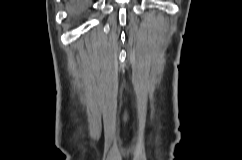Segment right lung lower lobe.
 <instances>
[{"label": "right lung lower lobe", "instance_id": "right-lung-lower-lobe-1", "mask_svg": "<svg viewBox=\"0 0 242 160\" xmlns=\"http://www.w3.org/2000/svg\"><path fill=\"white\" fill-rule=\"evenodd\" d=\"M93 0H70V7L73 15H80L88 10Z\"/></svg>", "mask_w": 242, "mask_h": 160}]
</instances>
